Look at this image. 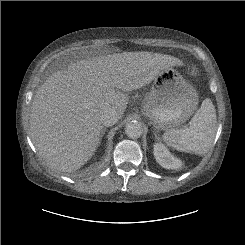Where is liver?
<instances>
[{
  "label": "liver",
  "instance_id": "1",
  "mask_svg": "<svg viewBox=\"0 0 245 245\" xmlns=\"http://www.w3.org/2000/svg\"><path fill=\"white\" fill-rule=\"evenodd\" d=\"M183 62L152 52H123L71 63L54 72L36 91L30 135L41 158L63 172L81 168L100 144V110L114 108L122 117L125 92L149 84L161 71Z\"/></svg>",
  "mask_w": 245,
  "mask_h": 245
}]
</instances>
